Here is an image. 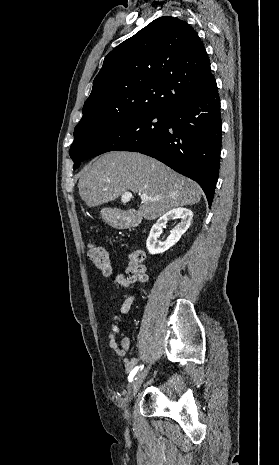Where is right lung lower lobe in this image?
<instances>
[{"instance_id": "98d812e1", "label": "right lung lower lobe", "mask_w": 279, "mask_h": 465, "mask_svg": "<svg viewBox=\"0 0 279 465\" xmlns=\"http://www.w3.org/2000/svg\"><path fill=\"white\" fill-rule=\"evenodd\" d=\"M167 112L164 131L148 144L127 146L163 162L195 180L212 204L220 167L222 120L215 79L198 96L179 102Z\"/></svg>"}]
</instances>
